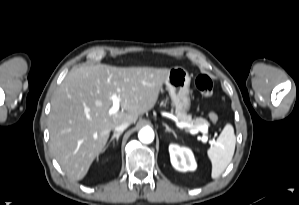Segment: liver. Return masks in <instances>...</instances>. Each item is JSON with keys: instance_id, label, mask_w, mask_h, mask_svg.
Instances as JSON below:
<instances>
[{"instance_id": "6515ba94", "label": "liver", "mask_w": 299, "mask_h": 205, "mask_svg": "<svg viewBox=\"0 0 299 205\" xmlns=\"http://www.w3.org/2000/svg\"><path fill=\"white\" fill-rule=\"evenodd\" d=\"M170 69L83 65L71 71L51 100V151L73 181L85 177L104 149L110 132L123 122L135 123L152 109ZM121 111L110 115L111 95Z\"/></svg>"}]
</instances>
